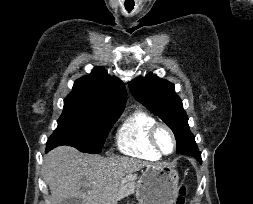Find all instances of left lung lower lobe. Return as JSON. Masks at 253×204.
I'll return each instance as SVG.
<instances>
[{
  "label": "left lung lower lobe",
  "mask_w": 253,
  "mask_h": 204,
  "mask_svg": "<svg viewBox=\"0 0 253 204\" xmlns=\"http://www.w3.org/2000/svg\"><path fill=\"white\" fill-rule=\"evenodd\" d=\"M185 155H189V156H193L195 157L200 163H202L201 160V153L198 150V147L196 146L193 150H191L190 152L186 153Z\"/></svg>",
  "instance_id": "1"
}]
</instances>
